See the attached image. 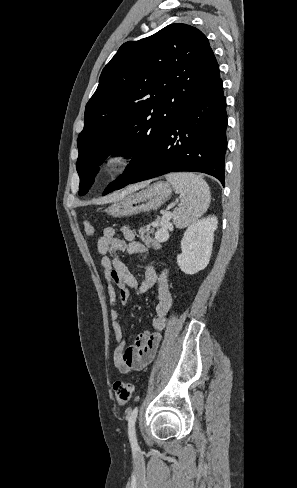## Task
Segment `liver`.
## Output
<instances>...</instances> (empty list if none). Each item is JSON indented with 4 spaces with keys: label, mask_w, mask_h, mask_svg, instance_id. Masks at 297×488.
Returning a JSON list of instances; mask_svg holds the SVG:
<instances>
[{
    "label": "liver",
    "mask_w": 297,
    "mask_h": 488,
    "mask_svg": "<svg viewBox=\"0 0 297 488\" xmlns=\"http://www.w3.org/2000/svg\"><path fill=\"white\" fill-rule=\"evenodd\" d=\"M146 186V183L144 184H139V185H136V186H131L129 188H127L126 190L122 191L121 193H115V194H112V195H109L105 201H114V200H118V199H121L123 198L126 194L128 193H131L135 190H138L139 188H142Z\"/></svg>",
    "instance_id": "obj_1"
}]
</instances>
